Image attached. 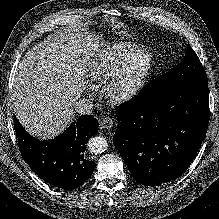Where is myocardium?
Listing matches in <instances>:
<instances>
[{
  "mask_svg": "<svg viewBox=\"0 0 219 219\" xmlns=\"http://www.w3.org/2000/svg\"><path fill=\"white\" fill-rule=\"evenodd\" d=\"M140 58L146 59L145 66L130 84L125 85L124 75L126 71ZM152 67V57L146 51H138L121 62L105 83L104 92L107 99L112 103L121 104L134 98L144 85Z\"/></svg>",
  "mask_w": 219,
  "mask_h": 219,
  "instance_id": "obj_1",
  "label": "myocardium"
}]
</instances>
